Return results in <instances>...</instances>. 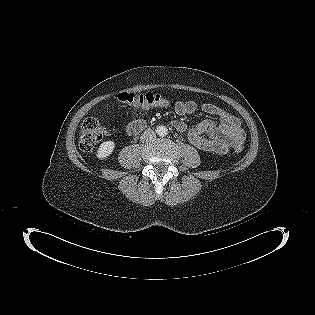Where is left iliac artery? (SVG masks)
Instances as JSON below:
<instances>
[{
	"label": "left iliac artery",
	"mask_w": 315,
	"mask_h": 315,
	"mask_svg": "<svg viewBox=\"0 0 315 315\" xmlns=\"http://www.w3.org/2000/svg\"><path fill=\"white\" fill-rule=\"evenodd\" d=\"M164 133H165V135H166V134H167V131H165Z\"/></svg>",
	"instance_id": "1"
}]
</instances>
